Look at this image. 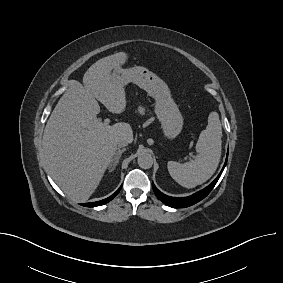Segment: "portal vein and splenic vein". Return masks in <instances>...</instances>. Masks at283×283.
I'll use <instances>...</instances> for the list:
<instances>
[{"label":"portal vein and splenic vein","instance_id":"1","mask_svg":"<svg viewBox=\"0 0 283 283\" xmlns=\"http://www.w3.org/2000/svg\"><path fill=\"white\" fill-rule=\"evenodd\" d=\"M96 123L97 124H101V120L97 119ZM109 123H110V119L109 118L104 119V122H103L104 125H109Z\"/></svg>","mask_w":283,"mask_h":283}]
</instances>
